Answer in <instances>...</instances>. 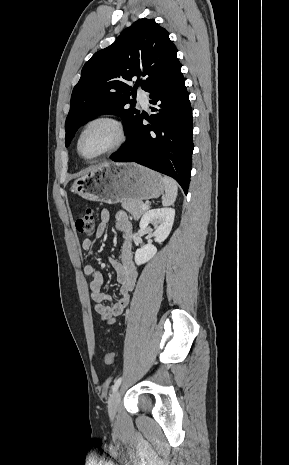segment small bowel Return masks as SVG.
<instances>
[{
  "label": "small bowel",
  "mask_w": 289,
  "mask_h": 465,
  "mask_svg": "<svg viewBox=\"0 0 289 465\" xmlns=\"http://www.w3.org/2000/svg\"><path fill=\"white\" fill-rule=\"evenodd\" d=\"M115 226L121 232L124 242L120 249L119 259H111L110 262L117 274V280L120 284L119 298L112 301L111 297L103 291L104 278L102 274L92 265L84 267V273L90 281V295L95 302V310L101 318L109 323L122 314L127 307L130 295L135 288L138 272L133 260V225L128 216L123 211L115 213ZM110 220V213L107 209L100 212V223L97 226L95 237L101 238L106 230ZM93 242L90 238L82 241V249L88 251L91 249Z\"/></svg>",
  "instance_id": "small-bowel-1"
}]
</instances>
